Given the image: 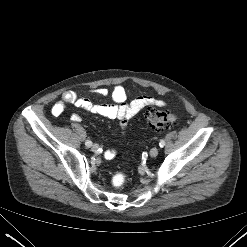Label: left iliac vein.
Masks as SVG:
<instances>
[{
	"mask_svg": "<svg viewBox=\"0 0 247 247\" xmlns=\"http://www.w3.org/2000/svg\"><path fill=\"white\" fill-rule=\"evenodd\" d=\"M158 155V149L156 147L152 148L150 150V156L151 157H156Z\"/></svg>",
	"mask_w": 247,
	"mask_h": 247,
	"instance_id": "1",
	"label": "left iliac vein"
}]
</instances>
